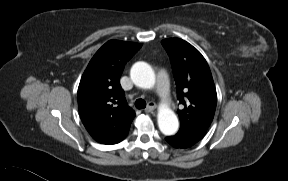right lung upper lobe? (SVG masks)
<instances>
[{
	"label": "right lung upper lobe",
	"mask_w": 288,
	"mask_h": 181,
	"mask_svg": "<svg viewBox=\"0 0 288 181\" xmlns=\"http://www.w3.org/2000/svg\"><path fill=\"white\" fill-rule=\"evenodd\" d=\"M142 45L110 40L89 62L78 88V109L89 134L99 143L116 144L128 134L135 112L119 83L127 61Z\"/></svg>",
	"instance_id": "cb5924a9"
}]
</instances>
